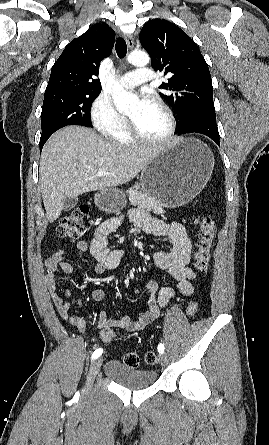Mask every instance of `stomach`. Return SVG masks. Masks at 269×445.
Here are the masks:
<instances>
[{
  "label": "stomach",
  "mask_w": 269,
  "mask_h": 445,
  "mask_svg": "<svg viewBox=\"0 0 269 445\" xmlns=\"http://www.w3.org/2000/svg\"><path fill=\"white\" fill-rule=\"evenodd\" d=\"M214 167L211 150L195 138H178L164 147L142 170L140 186L165 208H177L193 200L206 186ZM96 206L118 213L126 205L122 190L106 188L98 192Z\"/></svg>",
  "instance_id": "0dacf381"
}]
</instances>
